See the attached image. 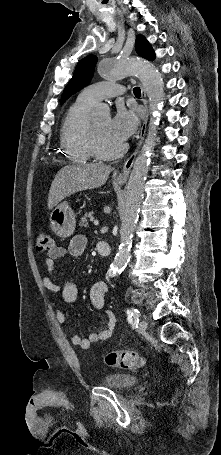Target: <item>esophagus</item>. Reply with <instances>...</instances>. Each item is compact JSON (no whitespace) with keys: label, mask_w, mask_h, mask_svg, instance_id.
Wrapping results in <instances>:
<instances>
[{"label":"esophagus","mask_w":221,"mask_h":455,"mask_svg":"<svg viewBox=\"0 0 221 455\" xmlns=\"http://www.w3.org/2000/svg\"><path fill=\"white\" fill-rule=\"evenodd\" d=\"M141 94H142V101H143L144 108H145V117H144V121L141 126V129H140V139H139L138 147H137L136 151L125 162L121 173H119L115 177V181L118 183H124L127 181V178L130 174L131 168L134 164L135 158L137 156V153L139 151V148H140L142 141L144 139V136H145L146 126H147V121H148V105H147L146 94H145V91L142 86H141Z\"/></svg>","instance_id":"1"}]
</instances>
